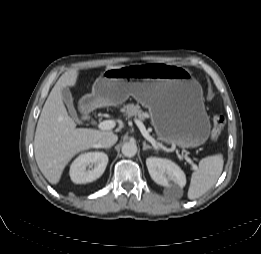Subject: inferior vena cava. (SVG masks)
<instances>
[{
  "label": "inferior vena cava",
  "instance_id": "inferior-vena-cava-1",
  "mask_svg": "<svg viewBox=\"0 0 261 254\" xmlns=\"http://www.w3.org/2000/svg\"><path fill=\"white\" fill-rule=\"evenodd\" d=\"M117 140H118V137L116 134H113V133L106 134L100 138V140L98 142V146L101 148H110L117 142Z\"/></svg>",
  "mask_w": 261,
  "mask_h": 254
}]
</instances>
